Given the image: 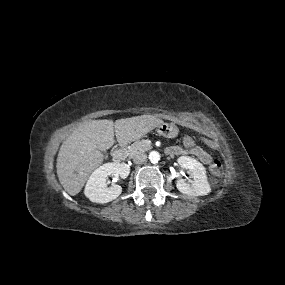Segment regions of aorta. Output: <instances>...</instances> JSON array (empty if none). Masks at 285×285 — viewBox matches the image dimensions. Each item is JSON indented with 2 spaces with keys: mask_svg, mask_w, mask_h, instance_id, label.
I'll use <instances>...</instances> for the list:
<instances>
[{
  "mask_svg": "<svg viewBox=\"0 0 285 285\" xmlns=\"http://www.w3.org/2000/svg\"><path fill=\"white\" fill-rule=\"evenodd\" d=\"M149 160L152 163H158V161L160 160V154L157 151H152L149 154Z\"/></svg>",
  "mask_w": 285,
  "mask_h": 285,
  "instance_id": "obj_1",
  "label": "aorta"
}]
</instances>
